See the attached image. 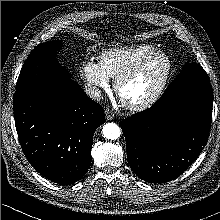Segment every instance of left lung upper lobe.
<instances>
[{
	"label": "left lung upper lobe",
	"mask_w": 220,
	"mask_h": 220,
	"mask_svg": "<svg viewBox=\"0 0 220 220\" xmlns=\"http://www.w3.org/2000/svg\"><path fill=\"white\" fill-rule=\"evenodd\" d=\"M196 83H210V79L205 70L197 63H186L182 71L166 88L164 94L179 92L186 86Z\"/></svg>",
	"instance_id": "left-lung-upper-lobe-1"
}]
</instances>
